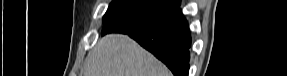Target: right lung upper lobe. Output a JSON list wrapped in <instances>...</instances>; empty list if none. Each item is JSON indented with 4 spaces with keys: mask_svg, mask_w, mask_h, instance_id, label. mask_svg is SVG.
Segmentation results:
<instances>
[{
    "mask_svg": "<svg viewBox=\"0 0 287 76\" xmlns=\"http://www.w3.org/2000/svg\"><path fill=\"white\" fill-rule=\"evenodd\" d=\"M175 1H177V2H178V4L180 3V2H179V0H175Z\"/></svg>",
    "mask_w": 287,
    "mask_h": 76,
    "instance_id": "right-lung-upper-lobe-1",
    "label": "right lung upper lobe"
}]
</instances>
